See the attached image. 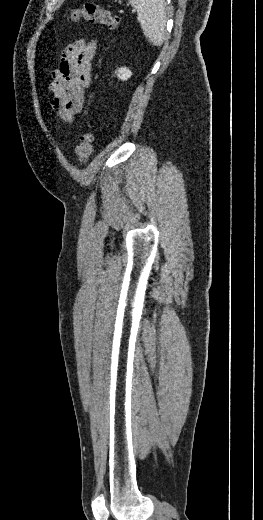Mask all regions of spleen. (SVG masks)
I'll return each mask as SVG.
<instances>
[{
    "mask_svg": "<svg viewBox=\"0 0 263 520\" xmlns=\"http://www.w3.org/2000/svg\"><path fill=\"white\" fill-rule=\"evenodd\" d=\"M137 11V19L148 41L161 46L166 37V8L164 0H129Z\"/></svg>",
    "mask_w": 263,
    "mask_h": 520,
    "instance_id": "3e777b00",
    "label": "spleen"
}]
</instances>
